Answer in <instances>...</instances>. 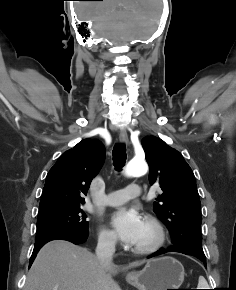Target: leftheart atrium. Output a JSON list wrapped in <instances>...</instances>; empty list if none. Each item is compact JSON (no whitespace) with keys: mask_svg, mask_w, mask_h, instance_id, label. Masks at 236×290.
Segmentation results:
<instances>
[{"mask_svg":"<svg viewBox=\"0 0 236 290\" xmlns=\"http://www.w3.org/2000/svg\"><path fill=\"white\" fill-rule=\"evenodd\" d=\"M110 224L116 235L125 243L134 245L144 227V222L134 209L120 208L113 213Z\"/></svg>","mask_w":236,"mask_h":290,"instance_id":"left-heart-atrium-1","label":"left heart atrium"}]
</instances>
